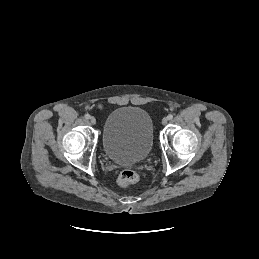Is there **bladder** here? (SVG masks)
<instances>
[{"instance_id":"obj_1","label":"bladder","mask_w":259,"mask_h":259,"mask_svg":"<svg viewBox=\"0 0 259 259\" xmlns=\"http://www.w3.org/2000/svg\"><path fill=\"white\" fill-rule=\"evenodd\" d=\"M105 155L118 164L132 165L146 160L153 147V123L141 108L123 106L106 118L102 132Z\"/></svg>"}]
</instances>
